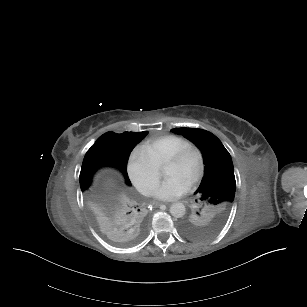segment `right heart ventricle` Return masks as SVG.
I'll return each mask as SVG.
<instances>
[{
  "label": "right heart ventricle",
  "instance_id": "e07e8e85",
  "mask_svg": "<svg viewBox=\"0 0 307 307\" xmlns=\"http://www.w3.org/2000/svg\"><path fill=\"white\" fill-rule=\"evenodd\" d=\"M192 140L189 137L177 135V134H168L165 135L162 139L161 147L157 153L159 159L166 160V157L177 152L186 145H189Z\"/></svg>",
  "mask_w": 307,
  "mask_h": 307
}]
</instances>
